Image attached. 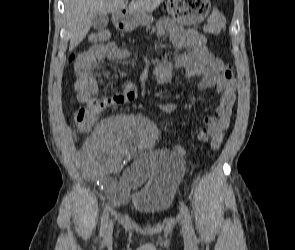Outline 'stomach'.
I'll return each instance as SVG.
<instances>
[{
  "label": "stomach",
  "instance_id": "0dacf381",
  "mask_svg": "<svg viewBox=\"0 0 295 250\" xmlns=\"http://www.w3.org/2000/svg\"><path fill=\"white\" fill-rule=\"evenodd\" d=\"M210 0H167V11L178 23L194 25L202 22L209 14ZM153 17L148 13L127 11L122 15L119 26L124 31H132L139 25L149 26Z\"/></svg>",
  "mask_w": 295,
  "mask_h": 250
}]
</instances>
